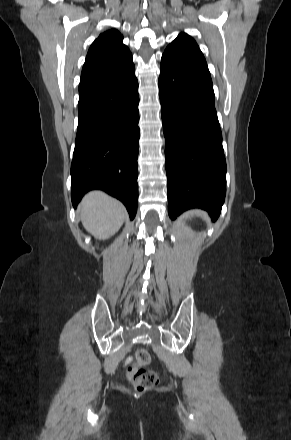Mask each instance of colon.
<instances>
[{
  "label": "colon",
  "mask_w": 291,
  "mask_h": 440,
  "mask_svg": "<svg viewBox=\"0 0 291 440\" xmlns=\"http://www.w3.org/2000/svg\"><path fill=\"white\" fill-rule=\"evenodd\" d=\"M151 361V356L146 350H138L135 364L128 369V375L135 390L147 391L158 383L156 372L146 369L145 366Z\"/></svg>",
  "instance_id": "colon-1"
}]
</instances>
